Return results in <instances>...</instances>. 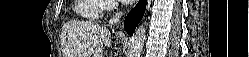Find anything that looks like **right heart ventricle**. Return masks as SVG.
Here are the masks:
<instances>
[{
  "label": "right heart ventricle",
  "instance_id": "e07e8e85",
  "mask_svg": "<svg viewBox=\"0 0 249 57\" xmlns=\"http://www.w3.org/2000/svg\"><path fill=\"white\" fill-rule=\"evenodd\" d=\"M76 12L88 20H96L101 11V3L98 0H78Z\"/></svg>",
  "mask_w": 249,
  "mask_h": 57
}]
</instances>
